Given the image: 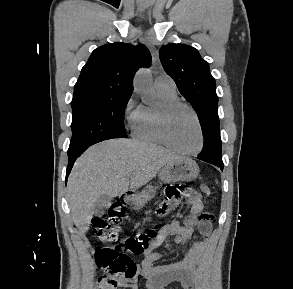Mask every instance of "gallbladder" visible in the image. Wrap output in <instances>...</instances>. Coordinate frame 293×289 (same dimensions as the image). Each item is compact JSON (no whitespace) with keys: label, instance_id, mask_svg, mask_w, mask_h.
I'll list each match as a JSON object with an SVG mask.
<instances>
[{"label":"gallbladder","instance_id":"obj_1","mask_svg":"<svg viewBox=\"0 0 293 289\" xmlns=\"http://www.w3.org/2000/svg\"><path fill=\"white\" fill-rule=\"evenodd\" d=\"M112 198L109 196H101L97 199L94 206L95 216L101 217L104 215L108 207L110 206Z\"/></svg>","mask_w":293,"mask_h":289}]
</instances>
